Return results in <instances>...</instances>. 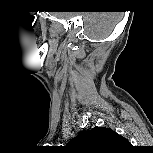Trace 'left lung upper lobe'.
Wrapping results in <instances>:
<instances>
[{"instance_id":"5c2ea615","label":"left lung upper lobe","mask_w":153,"mask_h":153,"mask_svg":"<svg viewBox=\"0 0 153 153\" xmlns=\"http://www.w3.org/2000/svg\"><path fill=\"white\" fill-rule=\"evenodd\" d=\"M129 145L126 138L111 128L94 127L81 131L67 146L80 153H113L124 150Z\"/></svg>"}]
</instances>
